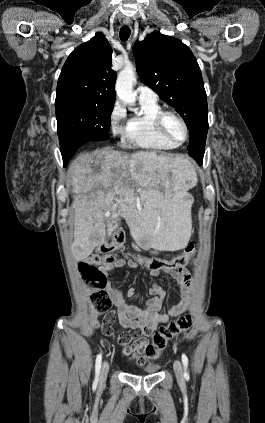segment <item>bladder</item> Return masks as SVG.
Segmentation results:
<instances>
[{"label":"bladder","instance_id":"1","mask_svg":"<svg viewBox=\"0 0 265 423\" xmlns=\"http://www.w3.org/2000/svg\"><path fill=\"white\" fill-rule=\"evenodd\" d=\"M159 368H160L159 365H151V366H148L147 368H145L143 370V372L145 374H153V373H156L159 370Z\"/></svg>","mask_w":265,"mask_h":423}]
</instances>
